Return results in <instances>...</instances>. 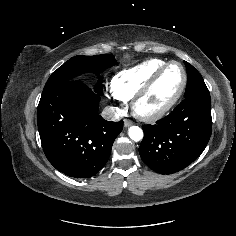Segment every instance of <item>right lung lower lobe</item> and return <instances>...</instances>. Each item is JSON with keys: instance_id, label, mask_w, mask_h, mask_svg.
<instances>
[{"instance_id": "1", "label": "right lung lower lobe", "mask_w": 236, "mask_h": 236, "mask_svg": "<svg viewBox=\"0 0 236 236\" xmlns=\"http://www.w3.org/2000/svg\"><path fill=\"white\" fill-rule=\"evenodd\" d=\"M99 93L77 80L43 90L37 122L44 153L60 172L89 178L104 167L123 121L98 114Z\"/></svg>"}]
</instances>
